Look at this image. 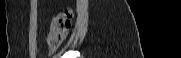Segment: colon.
I'll return each mask as SVG.
<instances>
[{"instance_id":"1","label":"colon","mask_w":181,"mask_h":58,"mask_svg":"<svg viewBox=\"0 0 181 58\" xmlns=\"http://www.w3.org/2000/svg\"><path fill=\"white\" fill-rule=\"evenodd\" d=\"M72 12L66 10L53 18L48 44L57 48L62 44L71 28Z\"/></svg>"}]
</instances>
